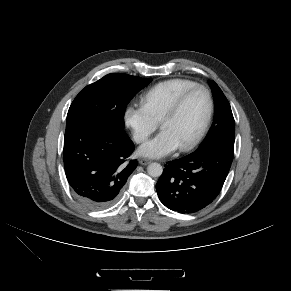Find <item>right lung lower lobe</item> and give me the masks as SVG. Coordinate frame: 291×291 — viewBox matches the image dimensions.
I'll list each match as a JSON object with an SVG mask.
<instances>
[{"label":"right lung lower lobe","mask_w":291,"mask_h":291,"mask_svg":"<svg viewBox=\"0 0 291 291\" xmlns=\"http://www.w3.org/2000/svg\"><path fill=\"white\" fill-rule=\"evenodd\" d=\"M134 144L124 129L74 126L64 136V168L77 198L91 209L113 204L137 167L129 160Z\"/></svg>","instance_id":"98d812e1"}]
</instances>
